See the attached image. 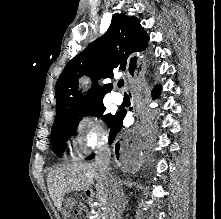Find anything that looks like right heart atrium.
I'll use <instances>...</instances> for the list:
<instances>
[{
	"label": "right heart atrium",
	"mask_w": 221,
	"mask_h": 219,
	"mask_svg": "<svg viewBox=\"0 0 221 219\" xmlns=\"http://www.w3.org/2000/svg\"><path fill=\"white\" fill-rule=\"evenodd\" d=\"M107 139V131L98 116L85 115L77 125L74 141L84 150L96 148Z\"/></svg>",
	"instance_id": "1"
}]
</instances>
